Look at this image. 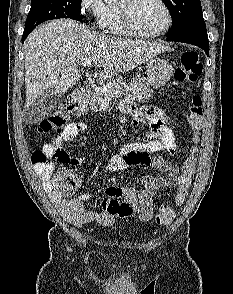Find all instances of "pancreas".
Returning <instances> with one entry per match:
<instances>
[{"mask_svg": "<svg viewBox=\"0 0 233 294\" xmlns=\"http://www.w3.org/2000/svg\"><path fill=\"white\" fill-rule=\"evenodd\" d=\"M113 90H119L120 93L112 94ZM153 90L147 83H142L140 79L133 78L129 85H126L123 80L117 79L105 86L94 89L89 98H86L80 103L79 111L86 113L89 108L97 109L103 102L112 101L113 98L127 97L132 100H144L151 96Z\"/></svg>", "mask_w": 233, "mask_h": 294, "instance_id": "pancreas-1", "label": "pancreas"}]
</instances>
